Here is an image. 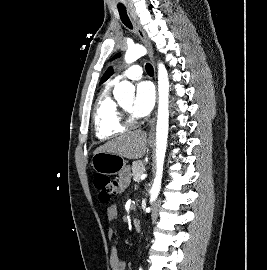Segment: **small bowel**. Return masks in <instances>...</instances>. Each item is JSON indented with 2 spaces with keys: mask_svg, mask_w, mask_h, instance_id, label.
I'll use <instances>...</instances> for the list:
<instances>
[{
  "mask_svg": "<svg viewBox=\"0 0 267 270\" xmlns=\"http://www.w3.org/2000/svg\"><path fill=\"white\" fill-rule=\"evenodd\" d=\"M119 182L121 188L124 189L130 182V172L128 170H124L119 176ZM118 215V209L115 205L109 206L106 210V216L109 221L115 220ZM108 238L112 242L109 263L111 270H126L125 263L119 258L117 247L114 243V231H108Z\"/></svg>",
  "mask_w": 267,
  "mask_h": 270,
  "instance_id": "1",
  "label": "small bowel"
}]
</instances>
